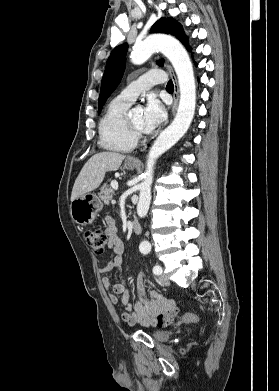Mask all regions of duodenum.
Returning a JSON list of instances; mask_svg holds the SVG:
<instances>
[{"label": "duodenum", "instance_id": "duodenum-1", "mask_svg": "<svg viewBox=\"0 0 279 391\" xmlns=\"http://www.w3.org/2000/svg\"><path fill=\"white\" fill-rule=\"evenodd\" d=\"M132 232L134 235H139L142 232V227L137 220L132 222Z\"/></svg>", "mask_w": 279, "mask_h": 391}]
</instances>
